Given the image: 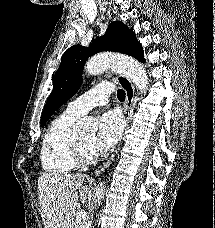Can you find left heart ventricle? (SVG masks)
<instances>
[{
	"label": "left heart ventricle",
	"mask_w": 215,
	"mask_h": 228,
	"mask_svg": "<svg viewBox=\"0 0 215 228\" xmlns=\"http://www.w3.org/2000/svg\"><path fill=\"white\" fill-rule=\"evenodd\" d=\"M81 144L90 152H93L92 150V144L94 141L93 134H88V135H82L77 137Z\"/></svg>",
	"instance_id": "1"
}]
</instances>
